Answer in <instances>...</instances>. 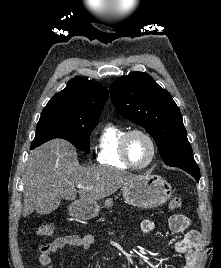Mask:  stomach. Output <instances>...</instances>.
Returning a JSON list of instances; mask_svg holds the SVG:
<instances>
[{
	"instance_id": "1",
	"label": "stomach",
	"mask_w": 221,
	"mask_h": 268,
	"mask_svg": "<svg viewBox=\"0 0 221 268\" xmlns=\"http://www.w3.org/2000/svg\"><path fill=\"white\" fill-rule=\"evenodd\" d=\"M122 193L128 204L149 209L167 202L172 195V187L159 175H138L123 185ZM104 205L107 208L112 206L113 200L106 199ZM99 210L100 206L96 201L78 200L69 207L70 215L81 220L96 217Z\"/></svg>"
}]
</instances>
